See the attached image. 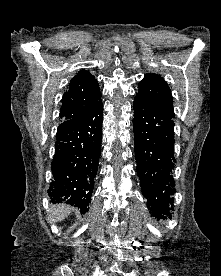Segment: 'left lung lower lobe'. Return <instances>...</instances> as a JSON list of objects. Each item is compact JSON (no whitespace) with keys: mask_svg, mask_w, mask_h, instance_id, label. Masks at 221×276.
<instances>
[{"mask_svg":"<svg viewBox=\"0 0 221 276\" xmlns=\"http://www.w3.org/2000/svg\"><path fill=\"white\" fill-rule=\"evenodd\" d=\"M137 173L152 215H171L174 180V122L172 116L152 108L136 94L133 102Z\"/></svg>","mask_w":221,"mask_h":276,"instance_id":"1","label":"left lung lower lobe"}]
</instances>
